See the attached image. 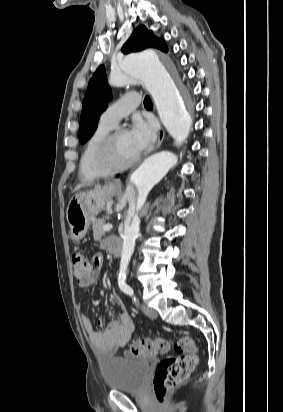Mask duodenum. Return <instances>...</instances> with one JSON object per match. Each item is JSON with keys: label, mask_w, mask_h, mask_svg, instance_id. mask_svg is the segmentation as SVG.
<instances>
[{"label": "duodenum", "mask_w": 283, "mask_h": 412, "mask_svg": "<svg viewBox=\"0 0 283 412\" xmlns=\"http://www.w3.org/2000/svg\"><path fill=\"white\" fill-rule=\"evenodd\" d=\"M121 248H122V242H121V240L115 238V239L113 240L112 244H111V247H110L111 252H112L114 255H117V254L120 253Z\"/></svg>", "instance_id": "duodenum-1"}]
</instances>
